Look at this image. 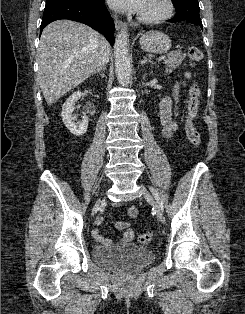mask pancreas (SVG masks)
<instances>
[{"label": "pancreas", "mask_w": 245, "mask_h": 314, "mask_svg": "<svg viewBox=\"0 0 245 314\" xmlns=\"http://www.w3.org/2000/svg\"><path fill=\"white\" fill-rule=\"evenodd\" d=\"M184 58L185 55L180 50L170 53L164 60V64L167 66L166 73H170L172 69L179 67L182 64Z\"/></svg>", "instance_id": "cf45deb5"}]
</instances>
